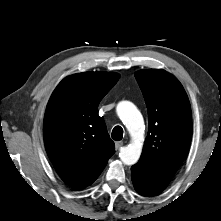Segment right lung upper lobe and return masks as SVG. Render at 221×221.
I'll list each match as a JSON object with an SVG mask.
<instances>
[{"instance_id": "right-lung-upper-lobe-1", "label": "right lung upper lobe", "mask_w": 221, "mask_h": 221, "mask_svg": "<svg viewBox=\"0 0 221 221\" xmlns=\"http://www.w3.org/2000/svg\"><path fill=\"white\" fill-rule=\"evenodd\" d=\"M118 79L116 73L74 74L60 82L49 100L46 151L58 175L72 187L89 186L115 153L97 107Z\"/></svg>"}]
</instances>
